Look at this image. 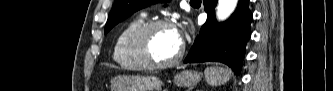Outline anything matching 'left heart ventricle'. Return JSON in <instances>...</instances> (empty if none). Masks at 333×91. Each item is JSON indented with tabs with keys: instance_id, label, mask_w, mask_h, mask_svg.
Masks as SVG:
<instances>
[{
	"instance_id": "b2bd125f",
	"label": "left heart ventricle",
	"mask_w": 333,
	"mask_h": 91,
	"mask_svg": "<svg viewBox=\"0 0 333 91\" xmlns=\"http://www.w3.org/2000/svg\"><path fill=\"white\" fill-rule=\"evenodd\" d=\"M181 43L177 38L175 29L159 28L155 30L148 41V52L154 61L171 60L178 53Z\"/></svg>"
}]
</instances>
